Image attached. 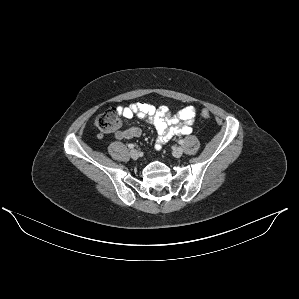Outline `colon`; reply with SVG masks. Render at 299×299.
Listing matches in <instances>:
<instances>
[{
	"label": "colon",
	"mask_w": 299,
	"mask_h": 299,
	"mask_svg": "<svg viewBox=\"0 0 299 299\" xmlns=\"http://www.w3.org/2000/svg\"><path fill=\"white\" fill-rule=\"evenodd\" d=\"M201 116L205 119H208L210 117V113L208 110L204 109L201 111ZM96 126L101 132L104 133L118 131L120 121L117 113L113 110H108L102 113L96 119Z\"/></svg>",
	"instance_id": "5ec220e1"
}]
</instances>
